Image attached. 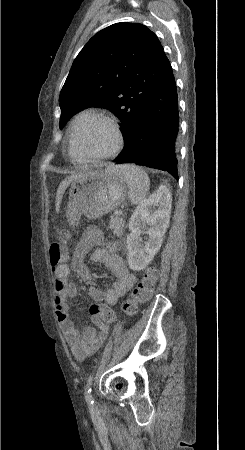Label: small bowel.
I'll return each mask as SVG.
<instances>
[{
    "label": "small bowel",
    "mask_w": 245,
    "mask_h": 450,
    "mask_svg": "<svg viewBox=\"0 0 245 450\" xmlns=\"http://www.w3.org/2000/svg\"><path fill=\"white\" fill-rule=\"evenodd\" d=\"M93 248L91 260L107 268L114 277L111 287L105 291L94 286L89 287L88 294L93 301L115 305L121 297L126 295L136 281V277L129 271L122 257L118 254L116 243L105 240L95 227H89L84 231L69 261L53 268L56 319L61 324L70 350L78 361H84L98 351L109 332L107 323L93 317H91V320L96 329L86 327L80 332L74 326L68 305V299L78 293L77 284L68 282L69 275L71 272H75L79 279L83 281L92 278V273L86 266L84 259Z\"/></svg>",
    "instance_id": "obj_1"
}]
</instances>
